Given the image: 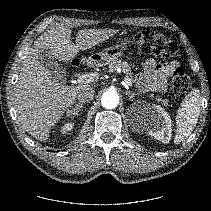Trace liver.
Masks as SVG:
<instances>
[{
  "label": "liver",
  "instance_id": "1",
  "mask_svg": "<svg viewBox=\"0 0 211 211\" xmlns=\"http://www.w3.org/2000/svg\"><path fill=\"white\" fill-rule=\"evenodd\" d=\"M113 29H84L77 32L75 44L69 28L57 27L42 34L23 61L18 81L12 92L13 104L22 127L34 138L46 141L50 130L64 111L75 102L77 94L87 87H96L97 81L82 82L78 86H64L52 80L38 59V50L46 48L61 62L69 63L79 50L85 51L112 37ZM82 62L96 64L82 56Z\"/></svg>",
  "mask_w": 211,
  "mask_h": 211
}]
</instances>
